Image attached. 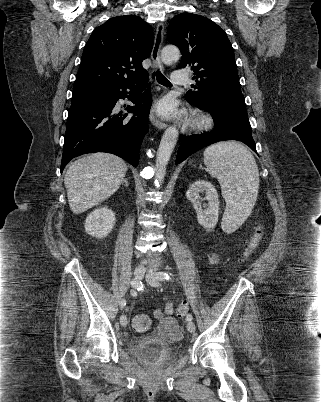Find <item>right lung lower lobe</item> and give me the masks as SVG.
Listing matches in <instances>:
<instances>
[{"label": "right lung lower lobe", "mask_w": 321, "mask_h": 402, "mask_svg": "<svg viewBox=\"0 0 321 402\" xmlns=\"http://www.w3.org/2000/svg\"><path fill=\"white\" fill-rule=\"evenodd\" d=\"M147 79L127 85H103L97 92L72 96L60 171L71 159L85 153L108 152L120 156L133 166L139 162V150L148 131L147 116L152 104ZM135 106L126 110L136 116L126 118L115 113L120 98L128 97ZM120 116V117H119Z\"/></svg>", "instance_id": "right-lung-lower-lobe-1"}]
</instances>
